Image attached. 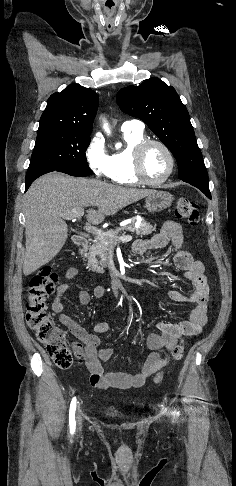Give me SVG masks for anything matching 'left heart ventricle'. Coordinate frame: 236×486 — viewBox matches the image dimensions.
Instances as JSON below:
<instances>
[{
	"label": "left heart ventricle",
	"instance_id": "1",
	"mask_svg": "<svg viewBox=\"0 0 236 486\" xmlns=\"http://www.w3.org/2000/svg\"><path fill=\"white\" fill-rule=\"evenodd\" d=\"M143 167L144 172L149 179L159 180L168 171V157L159 146L151 145L144 153Z\"/></svg>",
	"mask_w": 236,
	"mask_h": 486
}]
</instances>
